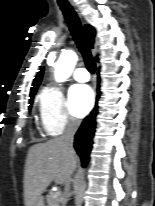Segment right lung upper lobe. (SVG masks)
<instances>
[{"mask_svg":"<svg viewBox=\"0 0 155 206\" xmlns=\"http://www.w3.org/2000/svg\"><path fill=\"white\" fill-rule=\"evenodd\" d=\"M85 31L87 33V36L89 38V42H90V46L91 48H93V44H94V37H95V30L92 26L90 25H86L85 26ZM98 60V59H97ZM43 71L44 69L42 68L38 75L35 77L34 81H33V84H32V88H31V91H30V95H35L36 93V90L38 88V86L40 85L41 83V80H42V76H43Z\"/></svg>","mask_w":155,"mask_h":206,"instance_id":"cb5924a9","label":"right lung upper lobe"}]
</instances>
